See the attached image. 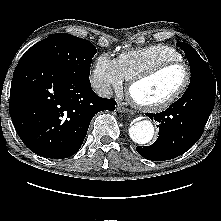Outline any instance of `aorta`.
<instances>
[{
    "label": "aorta",
    "mask_w": 221,
    "mask_h": 221,
    "mask_svg": "<svg viewBox=\"0 0 221 221\" xmlns=\"http://www.w3.org/2000/svg\"><path fill=\"white\" fill-rule=\"evenodd\" d=\"M131 139L138 144L149 143L154 135V126L149 120H141L129 128Z\"/></svg>",
    "instance_id": "obj_1"
}]
</instances>
